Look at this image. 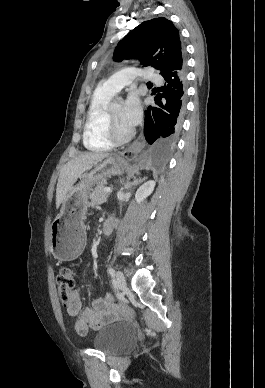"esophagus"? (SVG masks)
Here are the masks:
<instances>
[{"label": "esophagus", "mask_w": 265, "mask_h": 388, "mask_svg": "<svg viewBox=\"0 0 265 388\" xmlns=\"http://www.w3.org/2000/svg\"><path fill=\"white\" fill-rule=\"evenodd\" d=\"M143 146L144 137L143 135H140L135 142H133L129 147L125 148V150L121 152V156L124 158H133L137 155V153H139Z\"/></svg>", "instance_id": "esophagus-1"}]
</instances>
